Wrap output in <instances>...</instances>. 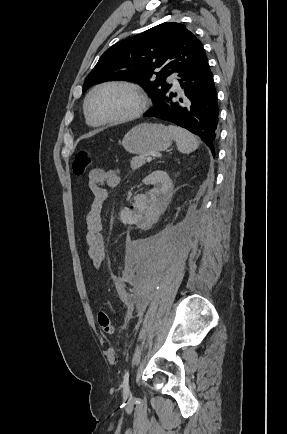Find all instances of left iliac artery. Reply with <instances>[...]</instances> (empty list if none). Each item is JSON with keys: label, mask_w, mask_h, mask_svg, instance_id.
<instances>
[{"label": "left iliac artery", "mask_w": 287, "mask_h": 434, "mask_svg": "<svg viewBox=\"0 0 287 434\" xmlns=\"http://www.w3.org/2000/svg\"><path fill=\"white\" fill-rule=\"evenodd\" d=\"M122 386H123L124 394H129L130 393V390H129V370H127L125 375H124Z\"/></svg>", "instance_id": "1"}]
</instances>
